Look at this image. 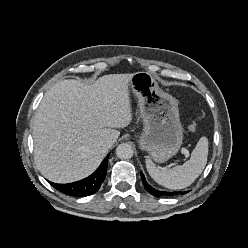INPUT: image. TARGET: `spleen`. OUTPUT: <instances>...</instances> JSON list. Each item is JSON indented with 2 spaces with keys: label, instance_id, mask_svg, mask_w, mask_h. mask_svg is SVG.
Returning a JSON list of instances; mask_svg holds the SVG:
<instances>
[{
  "label": "spleen",
  "instance_id": "obj_1",
  "mask_svg": "<svg viewBox=\"0 0 248 248\" xmlns=\"http://www.w3.org/2000/svg\"><path fill=\"white\" fill-rule=\"evenodd\" d=\"M208 157V139L201 137L191 153L190 160L172 169L158 168L150 159L146 160L149 175L158 184L173 190L190 186L204 170Z\"/></svg>",
  "mask_w": 248,
  "mask_h": 248
}]
</instances>
